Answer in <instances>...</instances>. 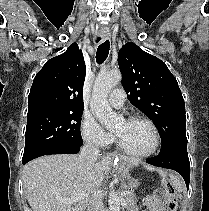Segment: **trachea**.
<instances>
[{
	"label": "trachea",
	"mask_w": 209,
	"mask_h": 211,
	"mask_svg": "<svg viewBox=\"0 0 209 211\" xmlns=\"http://www.w3.org/2000/svg\"><path fill=\"white\" fill-rule=\"evenodd\" d=\"M109 48H110L109 40H106L105 42L99 45L96 52V62L98 64H102L106 60L109 54Z\"/></svg>",
	"instance_id": "1"
}]
</instances>
